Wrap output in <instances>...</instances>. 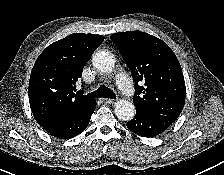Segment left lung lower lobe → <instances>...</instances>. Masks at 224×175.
Instances as JSON below:
<instances>
[{"mask_svg": "<svg viewBox=\"0 0 224 175\" xmlns=\"http://www.w3.org/2000/svg\"><path fill=\"white\" fill-rule=\"evenodd\" d=\"M175 118L166 115H150L136 112L135 117L127 122V128L142 137H154L164 132Z\"/></svg>", "mask_w": 224, "mask_h": 175, "instance_id": "0a47b994", "label": "left lung lower lobe"}]
</instances>
